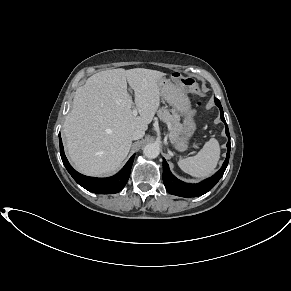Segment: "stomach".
Listing matches in <instances>:
<instances>
[{
  "label": "stomach",
  "mask_w": 291,
  "mask_h": 291,
  "mask_svg": "<svg viewBox=\"0 0 291 291\" xmlns=\"http://www.w3.org/2000/svg\"><path fill=\"white\" fill-rule=\"evenodd\" d=\"M159 85L161 96L184 117L183 125L178 132V138L172 140V143L176 150L185 151L188 147V139L196 129L190 100L179 83L174 84L168 79H161Z\"/></svg>",
  "instance_id": "0dacf381"
}]
</instances>
